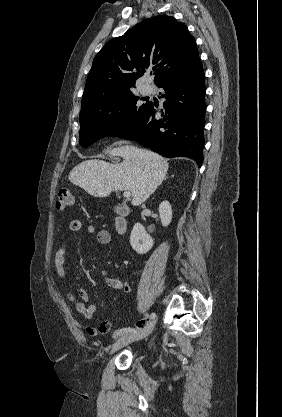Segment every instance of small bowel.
Segmentation results:
<instances>
[{
  "mask_svg": "<svg viewBox=\"0 0 282 417\" xmlns=\"http://www.w3.org/2000/svg\"><path fill=\"white\" fill-rule=\"evenodd\" d=\"M69 229L73 233H79L83 229V222L79 219H73L69 223ZM87 231L92 234L96 231V228L94 225H89ZM97 240L102 245L109 244L111 240L110 232L107 229L98 230ZM66 249V244H62L54 256L56 273L62 280L66 279V270L64 268ZM101 279L108 287L112 289L123 291L124 293L130 292V286L127 281L111 277L104 272L101 273ZM69 298L76 303L78 311L85 320H90L96 313L97 306L95 303L91 302L90 294L86 289H81L79 291V299H76L72 295H70ZM137 326L142 327L144 326V323L138 322ZM111 327L112 322L110 320H105L98 327L86 326L85 332L88 336L91 337L98 334L106 335L111 330Z\"/></svg>",
  "mask_w": 282,
  "mask_h": 417,
  "instance_id": "obj_1",
  "label": "small bowel"
}]
</instances>
